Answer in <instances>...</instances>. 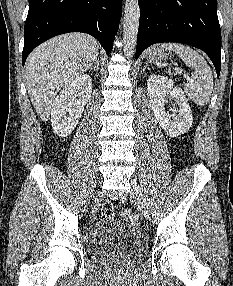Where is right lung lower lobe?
Listing matches in <instances>:
<instances>
[{
    "instance_id": "98d812e1",
    "label": "right lung lower lobe",
    "mask_w": 233,
    "mask_h": 286,
    "mask_svg": "<svg viewBox=\"0 0 233 286\" xmlns=\"http://www.w3.org/2000/svg\"><path fill=\"white\" fill-rule=\"evenodd\" d=\"M121 14L122 0H29L24 29L23 65L36 46L68 32L94 36L109 54Z\"/></svg>"
}]
</instances>
